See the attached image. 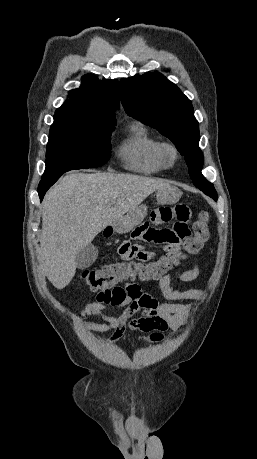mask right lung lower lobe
Returning a JSON list of instances; mask_svg holds the SVG:
<instances>
[{
	"label": "right lung lower lobe",
	"instance_id": "obj_1",
	"mask_svg": "<svg viewBox=\"0 0 257 459\" xmlns=\"http://www.w3.org/2000/svg\"><path fill=\"white\" fill-rule=\"evenodd\" d=\"M65 173V172H60L55 175H43L42 180L39 183L38 186V194L40 197V200L43 199V196L45 195L46 191L60 178V176Z\"/></svg>",
	"mask_w": 257,
	"mask_h": 459
}]
</instances>
